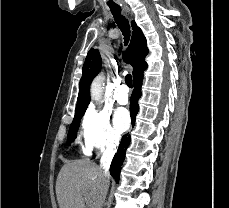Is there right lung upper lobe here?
<instances>
[{
	"instance_id": "cb5924a9",
	"label": "right lung upper lobe",
	"mask_w": 229,
	"mask_h": 208,
	"mask_svg": "<svg viewBox=\"0 0 229 208\" xmlns=\"http://www.w3.org/2000/svg\"><path fill=\"white\" fill-rule=\"evenodd\" d=\"M133 32L132 39L129 45L125 60L133 66L132 72L133 78L142 75L147 68V63L144 61L148 54V48L146 44V38L143 35L141 29L136 25L134 21L131 22ZM101 69V56L96 49H91L85 59L83 65L82 77L79 84V95L77 99V105L75 110V116L73 121L80 120L90 102L89 87L93 78L99 73Z\"/></svg>"
}]
</instances>
